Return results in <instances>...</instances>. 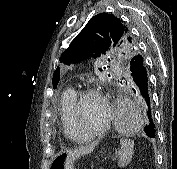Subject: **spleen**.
<instances>
[{
  "label": "spleen",
  "mask_w": 177,
  "mask_h": 169,
  "mask_svg": "<svg viewBox=\"0 0 177 169\" xmlns=\"http://www.w3.org/2000/svg\"><path fill=\"white\" fill-rule=\"evenodd\" d=\"M121 149L118 153V165L119 167L127 166L133 155L134 141L130 139H121L120 140Z\"/></svg>",
  "instance_id": "1"
}]
</instances>
